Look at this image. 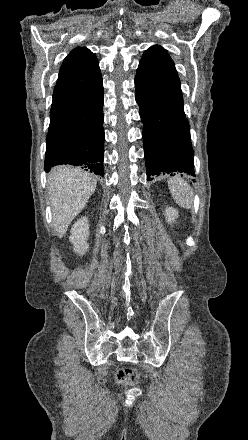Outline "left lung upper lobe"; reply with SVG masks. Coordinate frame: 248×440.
I'll return each instance as SVG.
<instances>
[{
    "label": "left lung upper lobe",
    "instance_id": "obj_1",
    "mask_svg": "<svg viewBox=\"0 0 248 440\" xmlns=\"http://www.w3.org/2000/svg\"><path fill=\"white\" fill-rule=\"evenodd\" d=\"M136 75L152 85L165 87L182 97L174 63L161 46H153L144 52Z\"/></svg>",
    "mask_w": 248,
    "mask_h": 440
}]
</instances>
